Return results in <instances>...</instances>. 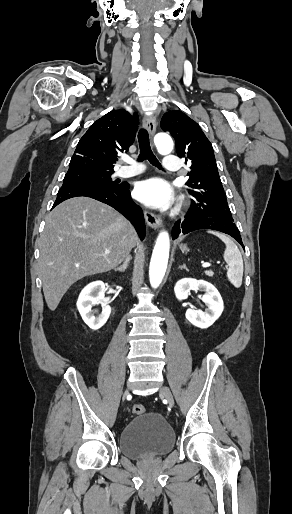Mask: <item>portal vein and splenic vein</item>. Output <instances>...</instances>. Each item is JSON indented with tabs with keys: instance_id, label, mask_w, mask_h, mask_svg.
<instances>
[{
	"instance_id": "1",
	"label": "portal vein and splenic vein",
	"mask_w": 292,
	"mask_h": 514,
	"mask_svg": "<svg viewBox=\"0 0 292 514\" xmlns=\"http://www.w3.org/2000/svg\"><path fill=\"white\" fill-rule=\"evenodd\" d=\"M105 254H109V250H106ZM203 268H209L211 264H202Z\"/></svg>"
}]
</instances>
